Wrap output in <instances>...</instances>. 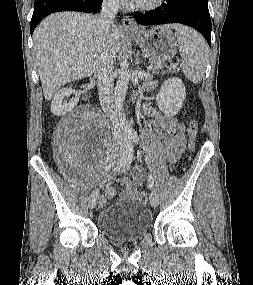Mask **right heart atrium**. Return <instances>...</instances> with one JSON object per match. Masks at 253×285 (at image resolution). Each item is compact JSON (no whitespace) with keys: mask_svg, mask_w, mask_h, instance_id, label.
I'll use <instances>...</instances> for the list:
<instances>
[{"mask_svg":"<svg viewBox=\"0 0 253 285\" xmlns=\"http://www.w3.org/2000/svg\"><path fill=\"white\" fill-rule=\"evenodd\" d=\"M111 5H117L119 3V0H106Z\"/></svg>","mask_w":253,"mask_h":285,"instance_id":"1","label":"right heart atrium"}]
</instances>
